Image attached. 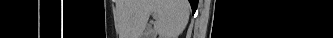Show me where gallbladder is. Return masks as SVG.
<instances>
[{"label": "gallbladder", "mask_w": 333, "mask_h": 38, "mask_svg": "<svg viewBox=\"0 0 333 38\" xmlns=\"http://www.w3.org/2000/svg\"><path fill=\"white\" fill-rule=\"evenodd\" d=\"M144 35H145V36H148L147 30L144 32Z\"/></svg>", "instance_id": "obj_1"}]
</instances>
